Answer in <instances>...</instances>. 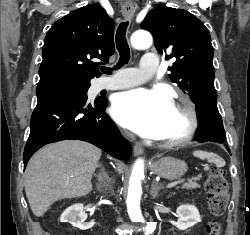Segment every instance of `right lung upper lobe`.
<instances>
[{"mask_svg":"<svg viewBox=\"0 0 250 235\" xmlns=\"http://www.w3.org/2000/svg\"><path fill=\"white\" fill-rule=\"evenodd\" d=\"M115 22L98 4L70 12L48 31L39 68L36 93L90 85L101 74L98 67L114 53Z\"/></svg>","mask_w":250,"mask_h":235,"instance_id":"right-lung-upper-lobe-1","label":"right lung upper lobe"}]
</instances>
